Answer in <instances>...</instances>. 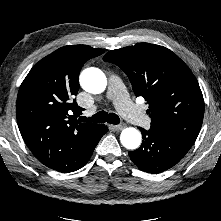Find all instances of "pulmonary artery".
<instances>
[{
  "label": "pulmonary artery",
  "instance_id": "e3ab8cb5",
  "mask_svg": "<svg viewBox=\"0 0 221 221\" xmlns=\"http://www.w3.org/2000/svg\"><path fill=\"white\" fill-rule=\"evenodd\" d=\"M107 98L115 103L118 111L130 122L139 126L150 123L149 117L130 101L121 79L115 75L109 78Z\"/></svg>",
  "mask_w": 221,
  "mask_h": 221
}]
</instances>
